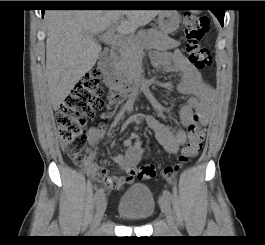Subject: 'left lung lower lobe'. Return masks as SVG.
<instances>
[{
    "label": "left lung lower lobe",
    "instance_id": "0a47b994",
    "mask_svg": "<svg viewBox=\"0 0 265 245\" xmlns=\"http://www.w3.org/2000/svg\"><path fill=\"white\" fill-rule=\"evenodd\" d=\"M211 11L215 14V16H217L218 20L220 21L221 25L223 26L224 10L223 9H212Z\"/></svg>",
    "mask_w": 265,
    "mask_h": 245
}]
</instances>
